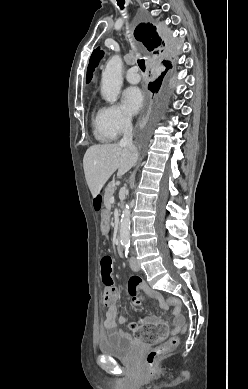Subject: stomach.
<instances>
[{"instance_id": "stomach-1", "label": "stomach", "mask_w": 248, "mask_h": 389, "mask_svg": "<svg viewBox=\"0 0 248 389\" xmlns=\"http://www.w3.org/2000/svg\"><path fill=\"white\" fill-rule=\"evenodd\" d=\"M110 209L108 207H102L101 208V215H100V234L101 235H108L110 233L109 230V224L110 221L114 218V215L112 213H109Z\"/></svg>"}]
</instances>
